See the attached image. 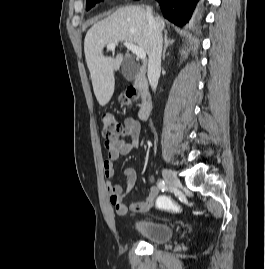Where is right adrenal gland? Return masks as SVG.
<instances>
[{
    "instance_id": "obj_1",
    "label": "right adrenal gland",
    "mask_w": 265,
    "mask_h": 269,
    "mask_svg": "<svg viewBox=\"0 0 265 269\" xmlns=\"http://www.w3.org/2000/svg\"><path fill=\"white\" fill-rule=\"evenodd\" d=\"M174 39H170L168 37V31H165V34H164V49H163V54H162V60L164 61L165 60V54H166V50L167 48L172 45L174 43Z\"/></svg>"
}]
</instances>
